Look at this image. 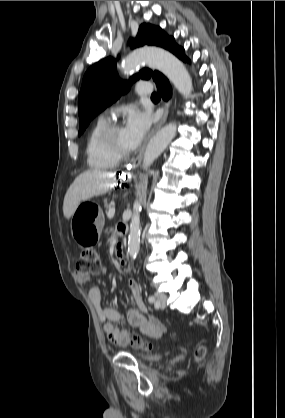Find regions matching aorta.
Wrapping results in <instances>:
<instances>
[{
    "instance_id": "1",
    "label": "aorta",
    "mask_w": 285,
    "mask_h": 418,
    "mask_svg": "<svg viewBox=\"0 0 285 418\" xmlns=\"http://www.w3.org/2000/svg\"><path fill=\"white\" fill-rule=\"evenodd\" d=\"M161 71L173 83L174 87L185 97L192 92V79L184 65L171 53L160 48H143L132 52L122 62L124 71L136 69L142 63ZM177 131L176 123L164 126L148 143L142 167L148 169L150 165L162 154L168 144L174 139ZM142 203V187L136 190V199L133 204V214L130 222L128 236V253L135 258L140 249V211Z\"/></svg>"
}]
</instances>
